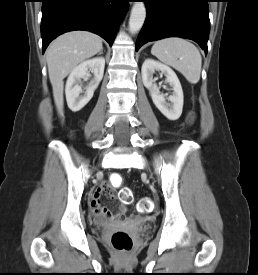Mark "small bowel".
Masks as SVG:
<instances>
[{
	"mask_svg": "<svg viewBox=\"0 0 258 275\" xmlns=\"http://www.w3.org/2000/svg\"><path fill=\"white\" fill-rule=\"evenodd\" d=\"M103 192H108L110 196H113L112 188L108 183L100 184L94 191L91 201H90V209L91 211L99 217H103L108 220L115 219V214L111 213L108 209L101 206L100 198ZM123 202V201H122ZM125 204V202H123ZM121 206V211L118 213L119 217H122L126 212L125 205Z\"/></svg>",
	"mask_w": 258,
	"mask_h": 275,
	"instance_id": "small-bowel-1",
	"label": "small bowel"
}]
</instances>
